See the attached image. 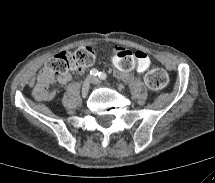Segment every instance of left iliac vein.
<instances>
[{
	"instance_id": "left-iliac-vein-1",
	"label": "left iliac vein",
	"mask_w": 215,
	"mask_h": 183,
	"mask_svg": "<svg viewBox=\"0 0 215 183\" xmlns=\"http://www.w3.org/2000/svg\"><path fill=\"white\" fill-rule=\"evenodd\" d=\"M91 83H93V84H100L101 81L99 79L95 78V77H91Z\"/></svg>"
}]
</instances>
